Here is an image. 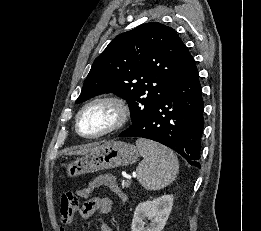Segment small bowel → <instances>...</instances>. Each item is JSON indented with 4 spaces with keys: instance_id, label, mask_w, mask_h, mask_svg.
Masks as SVG:
<instances>
[{
    "instance_id": "c3829d8e",
    "label": "small bowel",
    "mask_w": 261,
    "mask_h": 231,
    "mask_svg": "<svg viewBox=\"0 0 261 231\" xmlns=\"http://www.w3.org/2000/svg\"><path fill=\"white\" fill-rule=\"evenodd\" d=\"M111 180L114 182L113 178L110 175H100L93 179L91 184H93L95 187H101V186H107L108 182ZM80 195L82 198H87L88 194L83 193L82 189L79 190ZM112 191L116 192L118 195H121L118 188L115 187ZM112 210V201L111 199L107 197H93L90 199H87L84 204L82 205L80 209V215L81 217L87 219L91 217L92 215H105L108 214ZM61 223L63 225H68L70 221H66L63 218H61ZM101 231H113L107 224L104 222H101L100 224ZM60 231H65L62 227Z\"/></svg>"
}]
</instances>
